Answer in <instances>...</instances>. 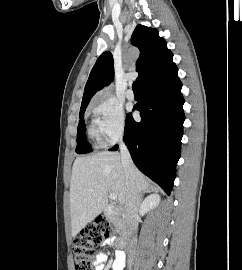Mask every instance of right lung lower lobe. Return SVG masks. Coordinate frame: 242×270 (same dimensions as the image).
Listing matches in <instances>:
<instances>
[{
    "mask_svg": "<svg viewBox=\"0 0 242 270\" xmlns=\"http://www.w3.org/2000/svg\"><path fill=\"white\" fill-rule=\"evenodd\" d=\"M177 72L171 60L146 80L141 86V101L134 108L141 112V121L128 114L124 135L135 165L167 194L173 187L185 120ZM117 149L115 145L110 151Z\"/></svg>",
    "mask_w": 242,
    "mask_h": 270,
    "instance_id": "right-lung-lower-lobe-1",
    "label": "right lung lower lobe"
}]
</instances>
